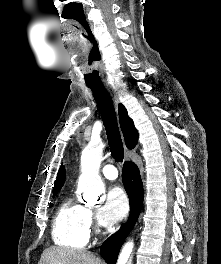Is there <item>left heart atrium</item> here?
I'll use <instances>...</instances> for the list:
<instances>
[{
    "label": "left heart atrium",
    "mask_w": 221,
    "mask_h": 264,
    "mask_svg": "<svg viewBox=\"0 0 221 264\" xmlns=\"http://www.w3.org/2000/svg\"><path fill=\"white\" fill-rule=\"evenodd\" d=\"M128 209V199L124 191L120 187H113L108 191L105 202L99 209V219L105 225H112L122 220Z\"/></svg>",
    "instance_id": "obj_1"
}]
</instances>
